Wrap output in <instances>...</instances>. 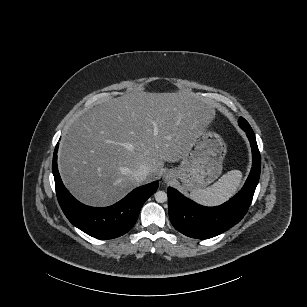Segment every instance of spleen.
<instances>
[{"label": "spleen", "mask_w": 307, "mask_h": 307, "mask_svg": "<svg viewBox=\"0 0 307 307\" xmlns=\"http://www.w3.org/2000/svg\"><path fill=\"white\" fill-rule=\"evenodd\" d=\"M243 177L240 170H230L211 187L189 193V198L204 207L220 206L235 196Z\"/></svg>", "instance_id": "1"}]
</instances>
